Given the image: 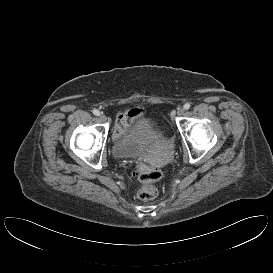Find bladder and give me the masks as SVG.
Returning <instances> with one entry per match:
<instances>
[{
    "label": "bladder",
    "mask_w": 273,
    "mask_h": 273,
    "mask_svg": "<svg viewBox=\"0 0 273 273\" xmlns=\"http://www.w3.org/2000/svg\"><path fill=\"white\" fill-rule=\"evenodd\" d=\"M164 138V134L156 128L151 120L141 117L115 139L112 153L116 158L139 157L145 153L147 145Z\"/></svg>",
    "instance_id": "31cf9c89"
}]
</instances>
